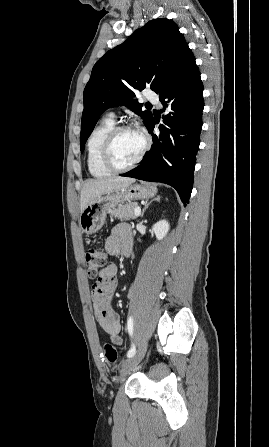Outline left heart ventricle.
<instances>
[{
	"label": "left heart ventricle",
	"mask_w": 269,
	"mask_h": 447,
	"mask_svg": "<svg viewBox=\"0 0 269 447\" xmlns=\"http://www.w3.org/2000/svg\"><path fill=\"white\" fill-rule=\"evenodd\" d=\"M145 146V136L138 128L120 132L113 144V157L117 164L128 165L141 153Z\"/></svg>",
	"instance_id": "1"
}]
</instances>
